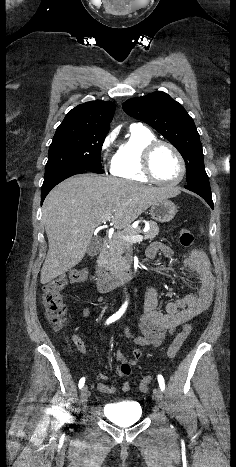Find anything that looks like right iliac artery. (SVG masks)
<instances>
[{
	"instance_id": "obj_1",
	"label": "right iliac artery",
	"mask_w": 236,
	"mask_h": 467,
	"mask_svg": "<svg viewBox=\"0 0 236 467\" xmlns=\"http://www.w3.org/2000/svg\"><path fill=\"white\" fill-rule=\"evenodd\" d=\"M126 308H127V303H124V304L122 305V307L119 309L118 312H116V313L113 314L111 317H109V319L106 321V324H110V323H112V322L118 320V319L124 314ZM84 383H85V378L83 377V378H81L80 381H79V384H78L79 389H81V388L84 386Z\"/></svg>"
}]
</instances>
